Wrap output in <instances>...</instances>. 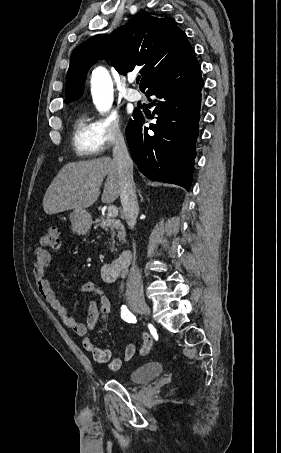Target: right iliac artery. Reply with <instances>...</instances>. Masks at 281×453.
<instances>
[{"instance_id": "1", "label": "right iliac artery", "mask_w": 281, "mask_h": 453, "mask_svg": "<svg viewBox=\"0 0 281 453\" xmlns=\"http://www.w3.org/2000/svg\"><path fill=\"white\" fill-rule=\"evenodd\" d=\"M121 317L124 321L128 323H135L136 317L127 309L125 305L122 306Z\"/></svg>"}]
</instances>
